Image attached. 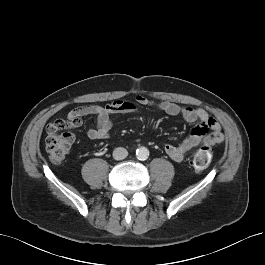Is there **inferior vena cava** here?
Listing matches in <instances>:
<instances>
[{"label":"inferior vena cava","mask_w":265,"mask_h":265,"mask_svg":"<svg viewBox=\"0 0 265 265\" xmlns=\"http://www.w3.org/2000/svg\"><path fill=\"white\" fill-rule=\"evenodd\" d=\"M128 156V151L123 147L115 148L113 151V158L115 160H123Z\"/></svg>","instance_id":"1"}]
</instances>
